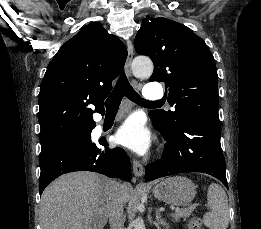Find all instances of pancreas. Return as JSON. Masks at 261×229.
Listing matches in <instances>:
<instances>
[{
  "mask_svg": "<svg viewBox=\"0 0 261 229\" xmlns=\"http://www.w3.org/2000/svg\"><path fill=\"white\" fill-rule=\"evenodd\" d=\"M192 211L193 207H189V209H183L181 214L172 213L171 217H173L174 223H177V221H181V219H183V221H186V219L190 217Z\"/></svg>",
  "mask_w": 261,
  "mask_h": 229,
  "instance_id": "obj_1",
  "label": "pancreas"
}]
</instances>
